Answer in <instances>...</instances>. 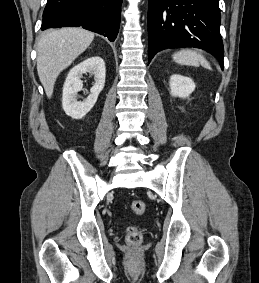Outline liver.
<instances>
[{
  "label": "liver",
  "mask_w": 259,
  "mask_h": 283,
  "mask_svg": "<svg viewBox=\"0 0 259 283\" xmlns=\"http://www.w3.org/2000/svg\"><path fill=\"white\" fill-rule=\"evenodd\" d=\"M94 33L75 27L49 30L37 45V72L48 98L52 97L58 75L83 53Z\"/></svg>",
  "instance_id": "obj_1"
}]
</instances>
